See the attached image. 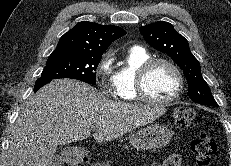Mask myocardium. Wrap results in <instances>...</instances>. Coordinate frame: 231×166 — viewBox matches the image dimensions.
<instances>
[{
	"label": "myocardium",
	"instance_id": "obj_1",
	"mask_svg": "<svg viewBox=\"0 0 231 166\" xmlns=\"http://www.w3.org/2000/svg\"><path fill=\"white\" fill-rule=\"evenodd\" d=\"M157 64H165L170 67L177 78V89L167 99H155L149 95L146 89V78L149 71ZM185 87V79L181 69L172 60L162 57L150 58L140 65L136 75V93L138 99L159 106H166L173 103L183 92Z\"/></svg>",
	"mask_w": 231,
	"mask_h": 166
}]
</instances>
